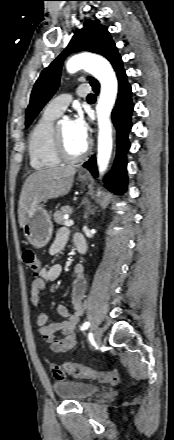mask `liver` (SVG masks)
Returning <instances> with one entry per match:
<instances>
[{"label": "liver", "mask_w": 174, "mask_h": 440, "mask_svg": "<svg viewBox=\"0 0 174 440\" xmlns=\"http://www.w3.org/2000/svg\"><path fill=\"white\" fill-rule=\"evenodd\" d=\"M75 173L76 170L73 167H56L39 169L29 175L19 198L20 227H24L41 202L68 194L73 185Z\"/></svg>", "instance_id": "obj_1"}]
</instances>
